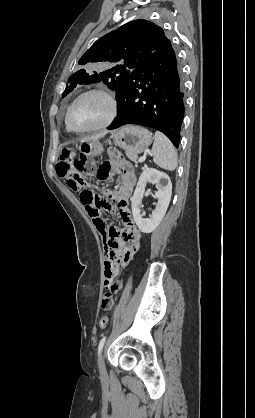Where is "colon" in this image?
<instances>
[{
	"instance_id": "5ec220e1",
	"label": "colon",
	"mask_w": 255,
	"mask_h": 418,
	"mask_svg": "<svg viewBox=\"0 0 255 418\" xmlns=\"http://www.w3.org/2000/svg\"><path fill=\"white\" fill-rule=\"evenodd\" d=\"M56 170L58 175L64 178L71 189L81 190V202L85 205L92 220L96 221L97 227L104 232L108 226L100 216V209L106 208L109 205L94 191L83 188L87 185V178L95 173V164L83 156H77L73 148L64 147L61 150L60 160L56 166ZM107 213H112V208H107ZM126 228L135 227L129 224ZM99 325L101 328L107 327L108 317L106 315L101 316Z\"/></svg>"
}]
</instances>
